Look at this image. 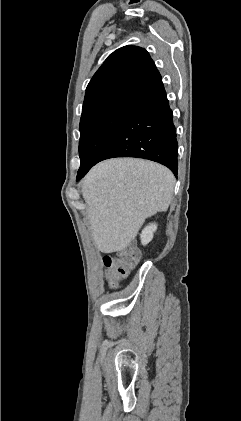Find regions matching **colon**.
I'll return each instance as SVG.
<instances>
[{
	"mask_svg": "<svg viewBox=\"0 0 241 421\" xmlns=\"http://www.w3.org/2000/svg\"><path fill=\"white\" fill-rule=\"evenodd\" d=\"M141 0H130L131 3H138ZM138 260V253L134 248H125L116 255H105L103 263L107 269L110 281H117L126 277L134 268Z\"/></svg>",
	"mask_w": 241,
	"mask_h": 421,
	"instance_id": "colon-1",
	"label": "colon"
}]
</instances>
